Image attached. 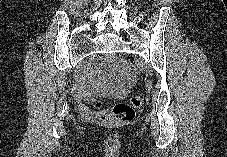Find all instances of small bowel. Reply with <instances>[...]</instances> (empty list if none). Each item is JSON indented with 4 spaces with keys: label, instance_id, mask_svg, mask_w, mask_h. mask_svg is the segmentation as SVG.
Segmentation results:
<instances>
[{
    "label": "small bowel",
    "instance_id": "1",
    "mask_svg": "<svg viewBox=\"0 0 227 157\" xmlns=\"http://www.w3.org/2000/svg\"><path fill=\"white\" fill-rule=\"evenodd\" d=\"M114 60L113 56L106 59L104 71H98L92 62L74 87L76 96L85 101L95 96L123 97L134 81V72L123 65L114 67Z\"/></svg>",
    "mask_w": 227,
    "mask_h": 157
}]
</instances>
